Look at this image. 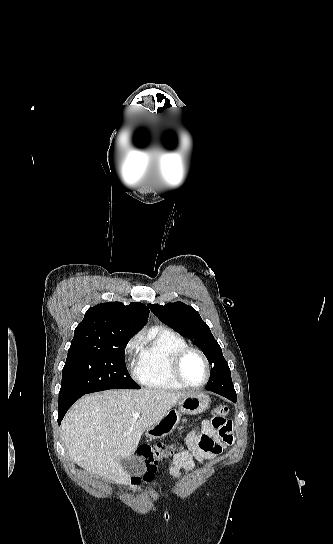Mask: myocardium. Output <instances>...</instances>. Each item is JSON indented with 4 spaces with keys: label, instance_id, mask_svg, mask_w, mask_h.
<instances>
[{
    "label": "myocardium",
    "instance_id": "myocardium-1",
    "mask_svg": "<svg viewBox=\"0 0 333 544\" xmlns=\"http://www.w3.org/2000/svg\"><path fill=\"white\" fill-rule=\"evenodd\" d=\"M190 354L198 355L202 359L206 367V378L202 383L198 385H193L188 383L182 374L183 362L187 358V356H189ZM170 370H171L172 377L177 383H179L181 386L185 388H190V389H199L204 387L209 382L211 377V366L206 355L201 350L194 347H190V346H186L184 348L179 349L177 352H175V354L171 358Z\"/></svg>",
    "mask_w": 333,
    "mask_h": 544
}]
</instances>
